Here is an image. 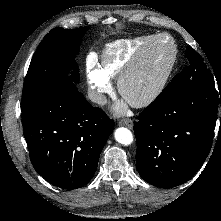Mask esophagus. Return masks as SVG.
Returning a JSON list of instances; mask_svg holds the SVG:
<instances>
[{
  "label": "esophagus",
  "instance_id": "1",
  "mask_svg": "<svg viewBox=\"0 0 221 221\" xmlns=\"http://www.w3.org/2000/svg\"><path fill=\"white\" fill-rule=\"evenodd\" d=\"M119 125L126 126L128 128H132L133 121L131 119H122L119 121Z\"/></svg>",
  "mask_w": 221,
  "mask_h": 221
}]
</instances>
